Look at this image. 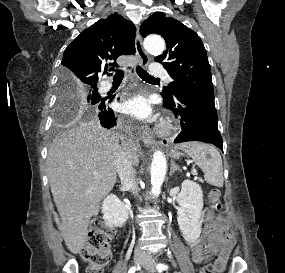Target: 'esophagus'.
<instances>
[{"label": "esophagus", "mask_w": 285, "mask_h": 273, "mask_svg": "<svg viewBox=\"0 0 285 273\" xmlns=\"http://www.w3.org/2000/svg\"><path fill=\"white\" fill-rule=\"evenodd\" d=\"M135 48L136 54L138 55L141 64L146 67L149 64V56L143 48L142 38L138 28L136 31ZM141 138L147 146H151L154 144V140L150 136L147 128L142 131Z\"/></svg>", "instance_id": "34e87169"}]
</instances>
